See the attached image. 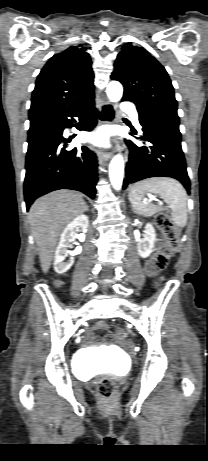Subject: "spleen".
I'll return each instance as SVG.
<instances>
[{
	"mask_svg": "<svg viewBox=\"0 0 208 461\" xmlns=\"http://www.w3.org/2000/svg\"><path fill=\"white\" fill-rule=\"evenodd\" d=\"M152 192L165 199L171 210L174 223L178 227L187 224V193L180 182L173 178L156 177L135 183L129 191V201L136 213L151 216L160 207L149 204L145 193Z\"/></svg>",
	"mask_w": 208,
	"mask_h": 461,
	"instance_id": "1",
	"label": "spleen"
}]
</instances>
